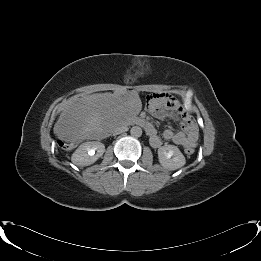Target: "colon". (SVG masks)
Returning <instances> with one entry per match:
<instances>
[{
	"instance_id": "5ec220e1",
	"label": "colon",
	"mask_w": 261,
	"mask_h": 261,
	"mask_svg": "<svg viewBox=\"0 0 261 261\" xmlns=\"http://www.w3.org/2000/svg\"><path fill=\"white\" fill-rule=\"evenodd\" d=\"M70 146H71V144H64V145H63L64 148L70 147ZM184 151H185V153H186L187 155H192V154L194 153V148H193V147H190V146H187Z\"/></svg>"
}]
</instances>
